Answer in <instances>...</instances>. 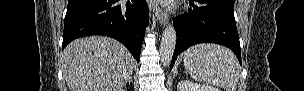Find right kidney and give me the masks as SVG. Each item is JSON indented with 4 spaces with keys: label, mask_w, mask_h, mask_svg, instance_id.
<instances>
[{
    "label": "right kidney",
    "mask_w": 304,
    "mask_h": 91,
    "mask_svg": "<svg viewBox=\"0 0 304 91\" xmlns=\"http://www.w3.org/2000/svg\"><path fill=\"white\" fill-rule=\"evenodd\" d=\"M120 91H125V89H122V90H120Z\"/></svg>",
    "instance_id": "ca27d5eb"
}]
</instances>
